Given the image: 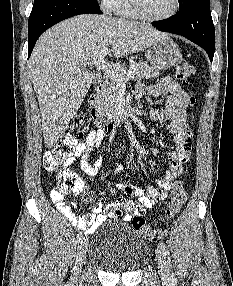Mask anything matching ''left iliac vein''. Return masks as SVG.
<instances>
[{
	"mask_svg": "<svg viewBox=\"0 0 233 286\" xmlns=\"http://www.w3.org/2000/svg\"><path fill=\"white\" fill-rule=\"evenodd\" d=\"M156 260L158 263V268L162 279L167 280L170 275L169 267L165 255L160 249L156 250Z\"/></svg>",
	"mask_w": 233,
	"mask_h": 286,
	"instance_id": "obj_1",
	"label": "left iliac vein"
}]
</instances>
